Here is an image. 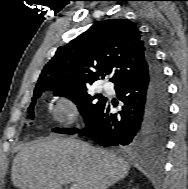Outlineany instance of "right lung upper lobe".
I'll list each match as a JSON object with an SVG mask.
<instances>
[{
    "label": "right lung upper lobe",
    "mask_w": 188,
    "mask_h": 189,
    "mask_svg": "<svg viewBox=\"0 0 188 189\" xmlns=\"http://www.w3.org/2000/svg\"><path fill=\"white\" fill-rule=\"evenodd\" d=\"M149 52L142 32L131 21H99L58 48L42 70L34 93L87 88L110 73H113L111 81L117 85L146 73Z\"/></svg>",
    "instance_id": "right-lung-upper-lobe-1"
}]
</instances>
